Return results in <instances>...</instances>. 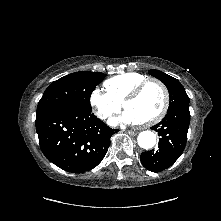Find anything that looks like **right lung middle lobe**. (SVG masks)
Instances as JSON below:
<instances>
[{
	"label": "right lung middle lobe",
	"mask_w": 221,
	"mask_h": 221,
	"mask_svg": "<svg viewBox=\"0 0 221 221\" xmlns=\"http://www.w3.org/2000/svg\"><path fill=\"white\" fill-rule=\"evenodd\" d=\"M105 77L103 73L80 71L54 81L38 102L36 117L57 108L70 106L92 111L90 96Z\"/></svg>",
	"instance_id": "dd1d6c3e"
}]
</instances>
